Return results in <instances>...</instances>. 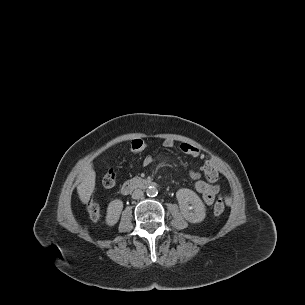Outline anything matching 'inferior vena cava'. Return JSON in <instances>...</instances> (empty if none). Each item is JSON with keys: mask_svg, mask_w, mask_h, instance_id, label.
<instances>
[{"mask_svg": "<svg viewBox=\"0 0 305 305\" xmlns=\"http://www.w3.org/2000/svg\"><path fill=\"white\" fill-rule=\"evenodd\" d=\"M143 191L142 190H140V189H136V190H134L133 191V193H132V198L133 199H140L142 196H143Z\"/></svg>", "mask_w": 305, "mask_h": 305, "instance_id": "1", "label": "inferior vena cava"}]
</instances>
